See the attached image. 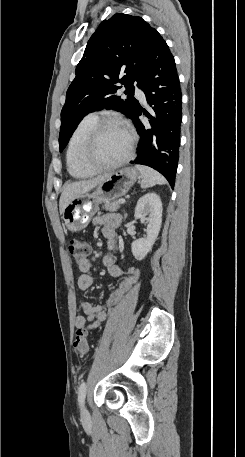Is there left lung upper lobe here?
<instances>
[{
  "mask_svg": "<svg viewBox=\"0 0 245 457\" xmlns=\"http://www.w3.org/2000/svg\"><path fill=\"white\" fill-rule=\"evenodd\" d=\"M162 37L141 17L117 13L103 21L91 36L75 70L61 111L60 152L83 117L94 110L114 109L130 119L139 106L134 84L139 86L148 60ZM125 85L127 99L114 95Z\"/></svg>",
  "mask_w": 245,
  "mask_h": 457,
  "instance_id": "obj_1",
  "label": "left lung upper lobe"
}]
</instances>
